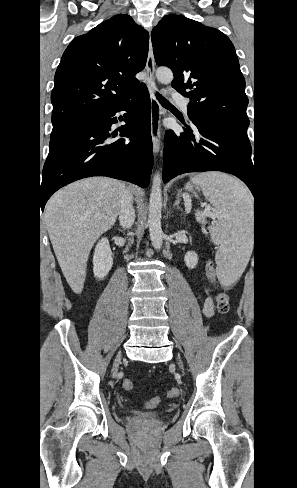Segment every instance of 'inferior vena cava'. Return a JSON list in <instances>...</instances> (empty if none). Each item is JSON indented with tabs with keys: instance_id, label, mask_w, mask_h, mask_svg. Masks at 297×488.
Here are the masks:
<instances>
[{
	"instance_id": "602c4592",
	"label": "inferior vena cava",
	"mask_w": 297,
	"mask_h": 488,
	"mask_svg": "<svg viewBox=\"0 0 297 488\" xmlns=\"http://www.w3.org/2000/svg\"><path fill=\"white\" fill-rule=\"evenodd\" d=\"M135 220V211L132 205V196L126 191L123 195L119 212V222L123 228H130Z\"/></svg>"
}]
</instances>
